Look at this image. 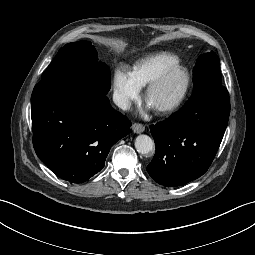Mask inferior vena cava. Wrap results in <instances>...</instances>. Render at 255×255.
<instances>
[{
	"label": "inferior vena cava",
	"instance_id": "1",
	"mask_svg": "<svg viewBox=\"0 0 255 255\" xmlns=\"http://www.w3.org/2000/svg\"><path fill=\"white\" fill-rule=\"evenodd\" d=\"M113 102L122 110H128L131 107L130 100L120 92H114Z\"/></svg>",
	"mask_w": 255,
	"mask_h": 255
}]
</instances>
